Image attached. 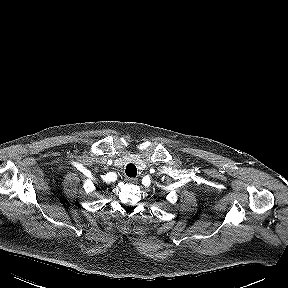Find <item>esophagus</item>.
<instances>
[{
	"label": "esophagus",
	"mask_w": 288,
	"mask_h": 288,
	"mask_svg": "<svg viewBox=\"0 0 288 288\" xmlns=\"http://www.w3.org/2000/svg\"><path fill=\"white\" fill-rule=\"evenodd\" d=\"M125 181L129 184H135V183H137V178L126 177Z\"/></svg>",
	"instance_id": "esophagus-1"
}]
</instances>
